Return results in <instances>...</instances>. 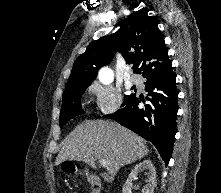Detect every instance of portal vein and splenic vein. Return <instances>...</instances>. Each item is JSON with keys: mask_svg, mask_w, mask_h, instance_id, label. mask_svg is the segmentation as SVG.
Instances as JSON below:
<instances>
[{"mask_svg": "<svg viewBox=\"0 0 221 193\" xmlns=\"http://www.w3.org/2000/svg\"><path fill=\"white\" fill-rule=\"evenodd\" d=\"M100 164H101L103 167L108 168V161H107V160H104V159L100 160Z\"/></svg>", "mask_w": 221, "mask_h": 193, "instance_id": "obj_1", "label": "portal vein and splenic vein"}]
</instances>
